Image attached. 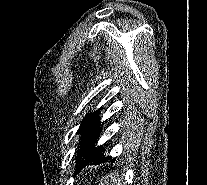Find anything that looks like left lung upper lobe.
<instances>
[{
    "instance_id": "left-lung-upper-lobe-1",
    "label": "left lung upper lobe",
    "mask_w": 207,
    "mask_h": 185,
    "mask_svg": "<svg viewBox=\"0 0 207 185\" xmlns=\"http://www.w3.org/2000/svg\"><path fill=\"white\" fill-rule=\"evenodd\" d=\"M99 110L86 115L78 129L82 133L81 147L77 153L76 160L87 154H98L103 151L102 146L95 147L97 136L100 133Z\"/></svg>"
}]
</instances>
